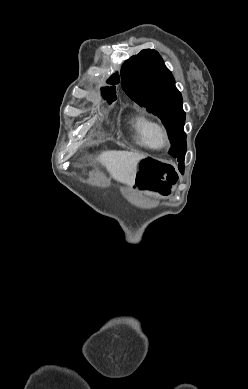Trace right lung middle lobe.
Segmentation results:
<instances>
[{"mask_svg": "<svg viewBox=\"0 0 248 389\" xmlns=\"http://www.w3.org/2000/svg\"><path fill=\"white\" fill-rule=\"evenodd\" d=\"M115 98H107L108 102L111 103V101H113Z\"/></svg>", "mask_w": 248, "mask_h": 389, "instance_id": "right-lung-middle-lobe-1", "label": "right lung middle lobe"}]
</instances>
